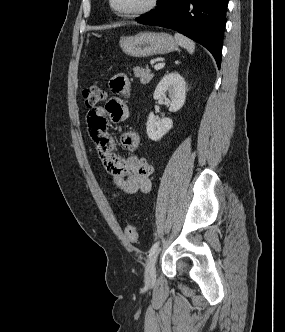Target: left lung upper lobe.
I'll return each instance as SVG.
<instances>
[{"label": "left lung upper lobe", "mask_w": 285, "mask_h": 332, "mask_svg": "<svg viewBox=\"0 0 285 332\" xmlns=\"http://www.w3.org/2000/svg\"><path fill=\"white\" fill-rule=\"evenodd\" d=\"M160 1H161V0H158L157 4H159Z\"/></svg>", "instance_id": "5c2ea615"}]
</instances>
